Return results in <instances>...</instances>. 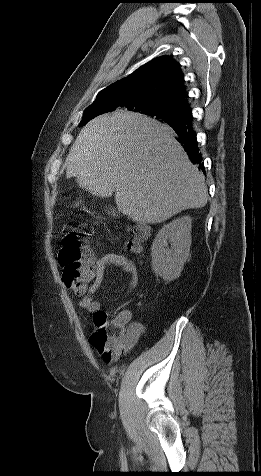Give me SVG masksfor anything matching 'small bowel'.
I'll use <instances>...</instances> for the list:
<instances>
[{
    "mask_svg": "<svg viewBox=\"0 0 261 476\" xmlns=\"http://www.w3.org/2000/svg\"><path fill=\"white\" fill-rule=\"evenodd\" d=\"M92 277L89 284L76 292L81 298L80 307L93 313L101 311L100 303L94 299V294L102 285L105 271L108 267L116 266L127 274V289L129 293L136 289L138 285V272L132 260L123 254L106 253L100 259H92ZM110 326L123 332V342L110 354L102 355L106 362H110L119 357L123 352L128 351L140 337L143 326L141 323L132 321V314L129 310H121L110 321Z\"/></svg>",
    "mask_w": 261,
    "mask_h": 476,
    "instance_id": "small-bowel-1",
    "label": "small bowel"
}]
</instances>
